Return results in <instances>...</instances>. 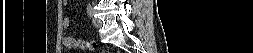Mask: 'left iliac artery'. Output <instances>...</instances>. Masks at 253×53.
<instances>
[{
    "instance_id": "left-iliac-artery-1",
    "label": "left iliac artery",
    "mask_w": 253,
    "mask_h": 53,
    "mask_svg": "<svg viewBox=\"0 0 253 53\" xmlns=\"http://www.w3.org/2000/svg\"><path fill=\"white\" fill-rule=\"evenodd\" d=\"M87 13L90 17H92L93 15V8L92 6L90 5V3L87 5Z\"/></svg>"
}]
</instances>
